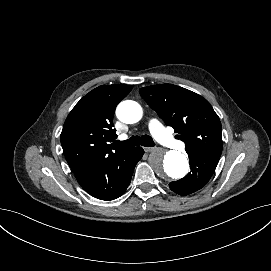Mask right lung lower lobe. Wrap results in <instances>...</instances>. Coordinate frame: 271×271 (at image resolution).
Instances as JSON below:
<instances>
[{
	"mask_svg": "<svg viewBox=\"0 0 271 271\" xmlns=\"http://www.w3.org/2000/svg\"><path fill=\"white\" fill-rule=\"evenodd\" d=\"M141 147L129 148L126 152L108 160L96 172L79 184L90 195L101 200L120 197L130 184L137 162L142 158Z\"/></svg>",
	"mask_w": 271,
	"mask_h": 271,
	"instance_id": "obj_1",
	"label": "right lung lower lobe"
}]
</instances>
